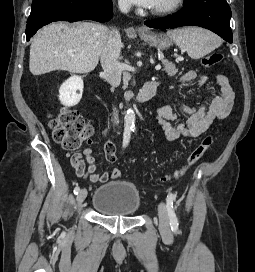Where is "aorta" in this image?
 I'll list each match as a JSON object with an SVG mask.
<instances>
[{
  "instance_id": "1",
  "label": "aorta",
  "mask_w": 255,
  "mask_h": 272,
  "mask_svg": "<svg viewBox=\"0 0 255 272\" xmlns=\"http://www.w3.org/2000/svg\"><path fill=\"white\" fill-rule=\"evenodd\" d=\"M135 113L132 108H129L126 111L125 117H124V125L125 129H133L135 127Z\"/></svg>"
}]
</instances>
